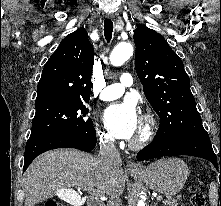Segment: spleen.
<instances>
[{
	"instance_id": "obj_1",
	"label": "spleen",
	"mask_w": 221,
	"mask_h": 206,
	"mask_svg": "<svg viewBox=\"0 0 221 206\" xmlns=\"http://www.w3.org/2000/svg\"><path fill=\"white\" fill-rule=\"evenodd\" d=\"M209 199L212 206H217L218 204V193L215 189L211 188L209 192Z\"/></svg>"
}]
</instances>
